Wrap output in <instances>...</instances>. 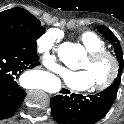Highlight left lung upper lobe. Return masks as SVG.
Returning a JSON list of instances; mask_svg holds the SVG:
<instances>
[{
	"instance_id": "left-lung-upper-lobe-1",
	"label": "left lung upper lobe",
	"mask_w": 124,
	"mask_h": 124,
	"mask_svg": "<svg viewBox=\"0 0 124 124\" xmlns=\"http://www.w3.org/2000/svg\"><path fill=\"white\" fill-rule=\"evenodd\" d=\"M97 29L99 30V32H101V34L104 36L105 39L109 40L112 43L114 47V51L119 63V70H118V75L111 86H114L118 89L119 84L121 82V75L124 65L122 48L120 46L118 39L109 28L102 25V26H98Z\"/></svg>"
}]
</instances>
